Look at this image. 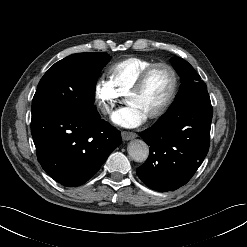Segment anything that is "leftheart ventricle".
<instances>
[{
	"label": "left heart ventricle",
	"instance_id": "obj_1",
	"mask_svg": "<svg viewBox=\"0 0 247 247\" xmlns=\"http://www.w3.org/2000/svg\"><path fill=\"white\" fill-rule=\"evenodd\" d=\"M172 86L168 69L158 67L149 75L143 90L126 98L128 105H134L147 117L157 111L165 102Z\"/></svg>",
	"mask_w": 247,
	"mask_h": 247
}]
</instances>
